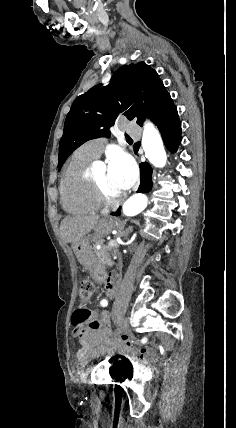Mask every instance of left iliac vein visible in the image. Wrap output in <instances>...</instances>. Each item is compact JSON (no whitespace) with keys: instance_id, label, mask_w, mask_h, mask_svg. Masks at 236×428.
Returning a JSON list of instances; mask_svg holds the SVG:
<instances>
[{"instance_id":"1","label":"left iliac vein","mask_w":236,"mask_h":428,"mask_svg":"<svg viewBox=\"0 0 236 428\" xmlns=\"http://www.w3.org/2000/svg\"><path fill=\"white\" fill-rule=\"evenodd\" d=\"M129 324L130 323L128 319L124 318L122 323L119 325V328L115 330V333L113 335L116 337L119 333H127V328ZM91 362H94V359H91ZM87 370H90V367H87Z\"/></svg>"}]
</instances>
